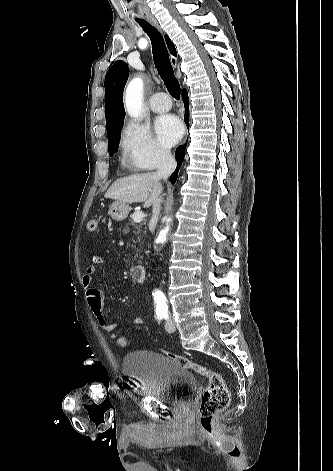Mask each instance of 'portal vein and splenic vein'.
Returning a JSON list of instances; mask_svg holds the SVG:
<instances>
[{
  "instance_id": "1",
  "label": "portal vein and splenic vein",
  "mask_w": 333,
  "mask_h": 471,
  "mask_svg": "<svg viewBox=\"0 0 333 471\" xmlns=\"http://www.w3.org/2000/svg\"><path fill=\"white\" fill-rule=\"evenodd\" d=\"M144 218V213L142 211H136L134 212V214L132 215V219L134 222L136 223H139L143 220Z\"/></svg>"
}]
</instances>
